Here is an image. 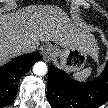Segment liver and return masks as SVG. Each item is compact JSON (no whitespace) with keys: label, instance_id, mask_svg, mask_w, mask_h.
<instances>
[{"label":"liver","instance_id":"liver-1","mask_svg":"<svg viewBox=\"0 0 108 108\" xmlns=\"http://www.w3.org/2000/svg\"><path fill=\"white\" fill-rule=\"evenodd\" d=\"M90 29L78 20L70 21L56 6H27L16 13L0 16V61L21 54L23 45L36 50L39 42H55L62 47L77 45L86 48ZM90 47L94 44L89 43Z\"/></svg>","mask_w":108,"mask_h":108}]
</instances>
